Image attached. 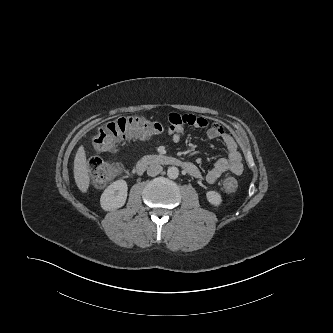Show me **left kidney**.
Instances as JSON below:
<instances>
[{
  "instance_id": "left-kidney-1",
  "label": "left kidney",
  "mask_w": 333,
  "mask_h": 333,
  "mask_svg": "<svg viewBox=\"0 0 333 333\" xmlns=\"http://www.w3.org/2000/svg\"><path fill=\"white\" fill-rule=\"evenodd\" d=\"M206 198L210 204L216 207L220 206L222 203V197L220 193L214 190L207 191Z\"/></svg>"
}]
</instances>
